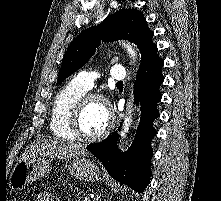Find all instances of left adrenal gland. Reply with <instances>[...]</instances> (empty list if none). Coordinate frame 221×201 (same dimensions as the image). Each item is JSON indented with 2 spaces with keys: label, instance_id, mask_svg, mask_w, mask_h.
<instances>
[{
  "label": "left adrenal gland",
  "instance_id": "1",
  "mask_svg": "<svg viewBox=\"0 0 221 201\" xmlns=\"http://www.w3.org/2000/svg\"><path fill=\"white\" fill-rule=\"evenodd\" d=\"M93 201H101L100 196H99V195H96V197L94 198Z\"/></svg>",
  "mask_w": 221,
  "mask_h": 201
}]
</instances>
